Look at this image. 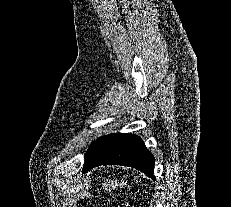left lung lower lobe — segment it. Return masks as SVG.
Instances as JSON below:
<instances>
[{"label": "left lung lower lobe", "instance_id": "obj_1", "mask_svg": "<svg viewBox=\"0 0 231 207\" xmlns=\"http://www.w3.org/2000/svg\"><path fill=\"white\" fill-rule=\"evenodd\" d=\"M103 164L130 166L154 178V157L134 134H110L92 143L83 172Z\"/></svg>", "mask_w": 231, "mask_h": 207}]
</instances>
